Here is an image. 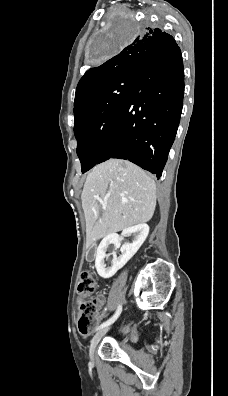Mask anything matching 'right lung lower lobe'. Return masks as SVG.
<instances>
[{"mask_svg": "<svg viewBox=\"0 0 228 396\" xmlns=\"http://www.w3.org/2000/svg\"><path fill=\"white\" fill-rule=\"evenodd\" d=\"M167 45L153 49L141 61L97 164L110 158L126 159L161 177L184 95L180 48L174 39Z\"/></svg>", "mask_w": 228, "mask_h": 396, "instance_id": "1", "label": "right lung lower lobe"}]
</instances>
